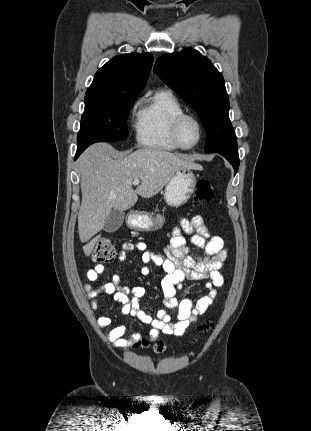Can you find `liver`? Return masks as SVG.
<instances>
[{
    "label": "liver",
    "instance_id": "1",
    "mask_svg": "<svg viewBox=\"0 0 311 431\" xmlns=\"http://www.w3.org/2000/svg\"><path fill=\"white\" fill-rule=\"evenodd\" d=\"M117 152L110 144H93L78 160L81 208L78 214L80 241H88L82 249L90 255L112 210H130L141 198H152L169 184L183 168L203 170L193 158L171 154L158 148H142L136 152ZM141 180L133 188L132 182ZM95 235V237H94Z\"/></svg>",
    "mask_w": 311,
    "mask_h": 431
}]
</instances>
